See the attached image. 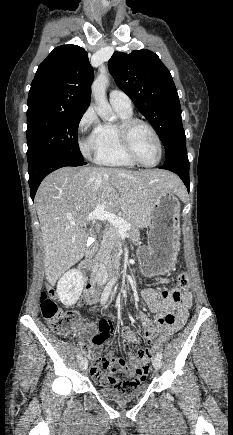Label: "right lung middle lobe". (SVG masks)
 Returning <instances> with one entry per match:
<instances>
[{
    "mask_svg": "<svg viewBox=\"0 0 233 435\" xmlns=\"http://www.w3.org/2000/svg\"><path fill=\"white\" fill-rule=\"evenodd\" d=\"M84 113H41L27 117V159L60 154L83 161L77 132Z\"/></svg>",
    "mask_w": 233,
    "mask_h": 435,
    "instance_id": "dd1d6c3e",
    "label": "right lung middle lobe"
}]
</instances>
